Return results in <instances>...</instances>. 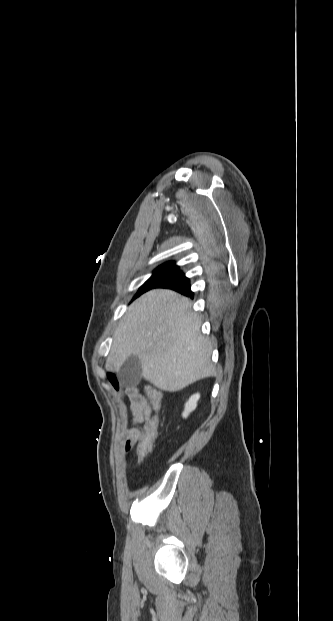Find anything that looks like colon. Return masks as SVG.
<instances>
[{
    "mask_svg": "<svg viewBox=\"0 0 333 621\" xmlns=\"http://www.w3.org/2000/svg\"><path fill=\"white\" fill-rule=\"evenodd\" d=\"M149 397L153 407V414L141 428V433L136 443V456L139 462H143L151 453L153 441L159 428L162 393L157 388L150 387Z\"/></svg>",
    "mask_w": 333,
    "mask_h": 621,
    "instance_id": "colon-1",
    "label": "colon"
}]
</instances>
